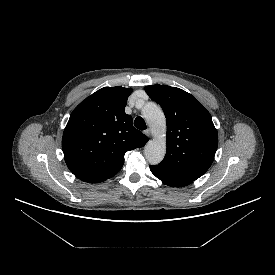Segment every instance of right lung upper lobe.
I'll return each mask as SVG.
<instances>
[{"label": "right lung upper lobe", "mask_w": 275, "mask_h": 275, "mask_svg": "<svg viewBox=\"0 0 275 275\" xmlns=\"http://www.w3.org/2000/svg\"><path fill=\"white\" fill-rule=\"evenodd\" d=\"M131 92L120 86L104 87L70 115L62 150L68 168L80 180L99 183L113 177L124 164V154L148 142L124 111Z\"/></svg>", "instance_id": "obj_1"}]
</instances>
